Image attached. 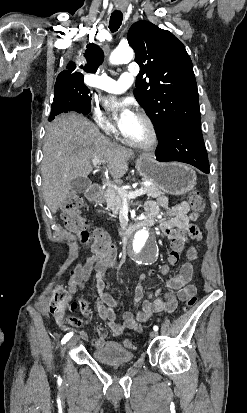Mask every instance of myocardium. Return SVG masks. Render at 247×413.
Returning a JSON list of instances; mask_svg holds the SVG:
<instances>
[{
  "mask_svg": "<svg viewBox=\"0 0 247 413\" xmlns=\"http://www.w3.org/2000/svg\"><path fill=\"white\" fill-rule=\"evenodd\" d=\"M142 120L146 122V124L149 126L150 131H151V137L147 141H135L125 135L124 141L130 147L141 149V150H147V149H151L158 145L160 141V132L158 128L156 127L155 123L153 122V120L148 115L146 114L142 115Z\"/></svg>",
  "mask_w": 247,
  "mask_h": 413,
  "instance_id": "1",
  "label": "myocardium"
}]
</instances>
